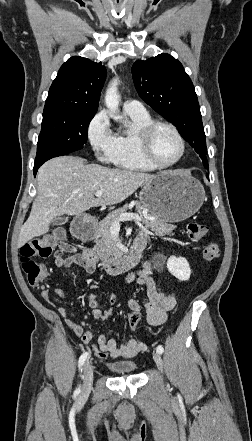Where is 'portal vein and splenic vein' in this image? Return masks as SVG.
<instances>
[{"instance_id": "1", "label": "portal vein and splenic vein", "mask_w": 252, "mask_h": 441, "mask_svg": "<svg viewBox=\"0 0 252 441\" xmlns=\"http://www.w3.org/2000/svg\"><path fill=\"white\" fill-rule=\"evenodd\" d=\"M103 194V191H96L95 196L99 197ZM153 219V218H151ZM143 219L138 214L134 213H123L119 216V218L113 222V227H118L120 225V221H134V222H141Z\"/></svg>"}]
</instances>
